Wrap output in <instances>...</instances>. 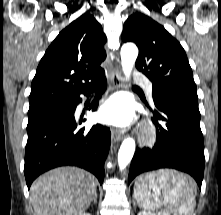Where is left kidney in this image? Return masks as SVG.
Returning <instances> with one entry per match:
<instances>
[{"instance_id":"left-kidney-1","label":"left kidney","mask_w":221,"mask_h":215,"mask_svg":"<svg viewBox=\"0 0 221 215\" xmlns=\"http://www.w3.org/2000/svg\"><path fill=\"white\" fill-rule=\"evenodd\" d=\"M138 215H166V214H160V213L154 214L150 211H141V212L138 213Z\"/></svg>"}]
</instances>
